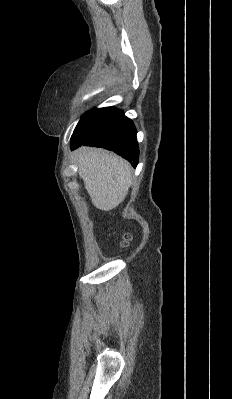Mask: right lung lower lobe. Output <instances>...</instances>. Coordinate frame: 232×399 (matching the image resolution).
<instances>
[{
  "instance_id": "obj_1",
  "label": "right lung lower lobe",
  "mask_w": 232,
  "mask_h": 399,
  "mask_svg": "<svg viewBox=\"0 0 232 399\" xmlns=\"http://www.w3.org/2000/svg\"><path fill=\"white\" fill-rule=\"evenodd\" d=\"M81 145L112 150L134 167L138 163L136 129L132 121L114 107L93 109L83 116L72 134L71 149Z\"/></svg>"
}]
</instances>
